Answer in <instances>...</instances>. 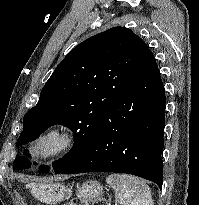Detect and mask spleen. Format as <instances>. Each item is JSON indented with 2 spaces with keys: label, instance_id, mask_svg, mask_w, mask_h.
I'll list each match as a JSON object with an SVG mask.
<instances>
[{
  "label": "spleen",
  "instance_id": "obj_1",
  "mask_svg": "<svg viewBox=\"0 0 199 205\" xmlns=\"http://www.w3.org/2000/svg\"><path fill=\"white\" fill-rule=\"evenodd\" d=\"M106 182L114 189L115 198L122 205H154L150 187L140 178L111 174Z\"/></svg>",
  "mask_w": 199,
  "mask_h": 205
}]
</instances>
